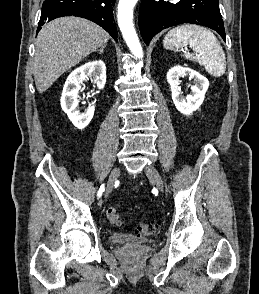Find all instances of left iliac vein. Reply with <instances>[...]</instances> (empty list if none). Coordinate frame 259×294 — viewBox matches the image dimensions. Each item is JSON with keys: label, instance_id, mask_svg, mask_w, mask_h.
<instances>
[{"label": "left iliac vein", "instance_id": "4c4485c4", "mask_svg": "<svg viewBox=\"0 0 259 294\" xmlns=\"http://www.w3.org/2000/svg\"><path fill=\"white\" fill-rule=\"evenodd\" d=\"M144 172L148 179L153 182L160 191H163V180L157 169L154 166L150 165L145 168Z\"/></svg>", "mask_w": 259, "mask_h": 294}]
</instances>
